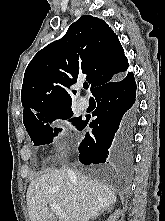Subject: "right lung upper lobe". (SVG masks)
Instances as JSON below:
<instances>
[{
  "label": "right lung upper lobe",
  "mask_w": 165,
  "mask_h": 221,
  "mask_svg": "<svg viewBox=\"0 0 165 221\" xmlns=\"http://www.w3.org/2000/svg\"><path fill=\"white\" fill-rule=\"evenodd\" d=\"M128 67L112 29L101 19L83 15L62 39L40 50L27 66L21 92L24 124L47 112L70 107L67 89L79 77L86 76L94 93L125 76Z\"/></svg>",
  "instance_id": "obj_1"
}]
</instances>
